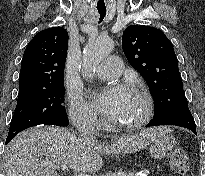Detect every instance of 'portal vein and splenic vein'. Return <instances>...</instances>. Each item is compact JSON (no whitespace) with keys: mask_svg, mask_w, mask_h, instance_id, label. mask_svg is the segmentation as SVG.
<instances>
[{"mask_svg":"<svg viewBox=\"0 0 205 176\" xmlns=\"http://www.w3.org/2000/svg\"><path fill=\"white\" fill-rule=\"evenodd\" d=\"M44 164L46 166H49L50 168H53V169H58V170H61V171H68V166L65 165V164H56V163H52V162H44ZM74 176H90V175H87V174H77V173H74Z\"/></svg>","mask_w":205,"mask_h":176,"instance_id":"portal-vein-and-splenic-vein-1","label":"portal vein and splenic vein"}]
</instances>
